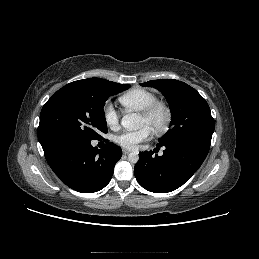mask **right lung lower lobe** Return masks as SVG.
<instances>
[{"instance_id": "1", "label": "right lung lower lobe", "mask_w": 259, "mask_h": 259, "mask_svg": "<svg viewBox=\"0 0 259 259\" xmlns=\"http://www.w3.org/2000/svg\"><path fill=\"white\" fill-rule=\"evenodd\" d=\"M41 145L54 173L67 186L82 193L104 188L122 156L121 148L113 143L99 150L92 147L91 140L72 136H59Z\"/></svg>"}]
</instances>
